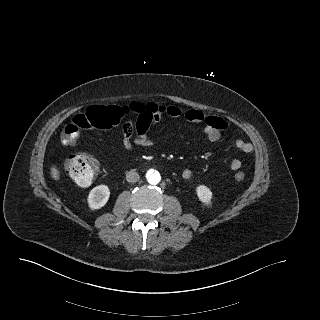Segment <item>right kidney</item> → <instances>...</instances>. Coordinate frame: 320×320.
<instances>
[{
	"instance_id": "right-kidney-1",
	"label": "right kidney",
	"mask_w": 320,
	"mask_h": 320,
	"mask_svg": "<svg viewBox=\"0 0 320 320\" xmlns=\"http://www.w3.org/2000/svg\"><path fill=\"white\" fill-rule=\"evenodd\" d=\"M110 190L107 185H98L94 187L87 198L88 206L91 210L102 208L108 201Z\"/></svg>"
}]
</instances>
